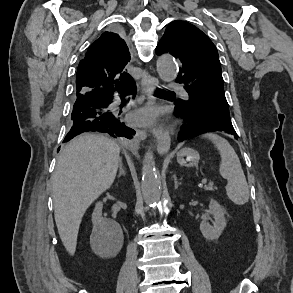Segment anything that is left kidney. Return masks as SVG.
Segmentation results:
<instances>
[{"instance_id":"left-kidney-1","label":"left kidney","mask_w":293,"mask_h":293,"mask_svg":"<svg viewBox=\"0 0 293 293\" xmlns=\"http://www.w3.org/2000/svg\"><path fill=\"white\" fill-rule=\"evenodd\" d=\"M209 220L212 222V225L209 223ZM226 225L224 208H222L216 200L211 199L208 216L200 223V231L202 235L208 240H217Z\"/></svg>"}]
</instances>
